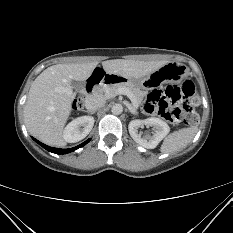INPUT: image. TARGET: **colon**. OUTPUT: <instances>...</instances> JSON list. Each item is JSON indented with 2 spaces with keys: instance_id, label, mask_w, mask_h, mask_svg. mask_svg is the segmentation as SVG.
Masks as SVG:
<instances>
[{
  "instance_id": "5ec220e1",
  "label": "colon",
  "mask_w": 233,
  "mask_h": 233,
  "mask_svg": "<svg viewBox=\"0 0 233 233\" xmlns=\"http://www.w3.org/2000/svg\"><path fill=\"white\" fill-rule=\"evenodd\" d=\"M197 102L195 87L186 81L181 87L168 85L164 89L152 90L144 103V110L156 114L171 123H184L194 126L199 122V116L194 110ZM84 99L79 96L73 103L75 110L83 108Z\"/></svg>"
}]
</instances>
